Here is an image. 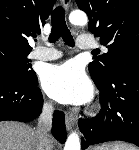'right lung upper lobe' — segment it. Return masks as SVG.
Here are the masks:
<instances>
[{
    "label": "right lung upper lobe",
    "mask_w": 139,
    "mask_h": 150,
    "mask_svg": "<svg viewBox=\"0 0 139 150\" xmlns=\"http://www.w3.org/2000/svg\"><path fill=\"white\" fill-rule=\"evenodd\" d=\"M55 0H0V46L31 51L28 37L40 33Z\"/></svg>",
    "instance_id": "1"
}]
</instances>
